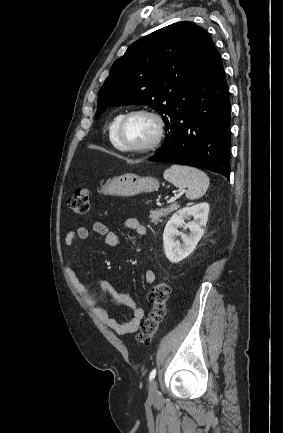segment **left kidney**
<instances>
[{
    "instance_id": "obj_1",
    "label": "left kidney",
    "mask_w": 283,
    "mask_h": 433,
    "mask_svg": "<svg viewBox=\"0 0 283 433\" xmlns=\"http://www.w3.org/2000/svg\"><path fill=\"white\" fill-rule=\"evenodd\" d=\"M209 214V204L206 202L191 207H184L174 213L167 222L163 233V245L166 257L172 263H178L189 256L204 234ZM193 217V221L185 220ZM189 229V234H182L178 228ZM181 236L183 243L176 240Z\"/></svg>"
}]
</instances>
